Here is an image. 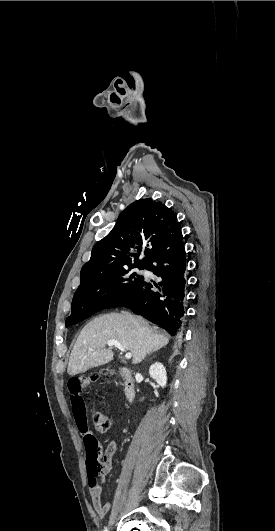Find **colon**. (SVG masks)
I'll return each mask as SVG.
<instances>
[{"mask_svg":"<svg viewBox=\"0 0 275 531\" xmlns=\"http://www.w3.org/2000/svg\"><path fill=\"white\" fill-rule=\"evenodd\" d=\"M106 375H107V371H101L99 372L96 376L94 375L93 376V380H98V379H106ZM88 380L89 382H91L92 384V376L90 375H83L81 376V384L83 382V380ZM92 392V389L91 391L89 392H86V393H90ZM86 408H87V411L91 410L92 408V405H91V398L89 396H86ZM94 425H95V428L96 430L101 433V434H105L107 433V431L110 429V425H111V422H110V419L109 417L105 414V413H102V412H95L94 414ZM114 446L113 445H108L106 448H105V451L106 450H109L110 452L113 450ZM107 466V462H103L101 463L99 466H98V470L102 469V468H106Z\"/></svg>","mask_w":275,"mask_h":531,"instance_id":"obj_1","label":"colon"}]
</instances>
